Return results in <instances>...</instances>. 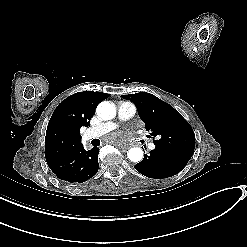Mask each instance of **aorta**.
Masks as SVG:
<instances>
[{
  "label": "aorta",
  "mask_w": 247,
  "mask_h": 247,
  "mask_svg": "<svg viewBox=\"0 0 247 247\" xmlns=\"http://www.w3.org/2000/svg\"><path fill=\"white\" fill-rule=\"evenodd\" d=\"M96 112L98 117H100L103 120H110L116 116L115 105L109 101H103L99 103V105L96 108ZM127 156L132 162H141L143 159V150L138 147L131 148L127 152Z\"/></svg>",
  "instance_id": "obj_1"
}]
</instances>
